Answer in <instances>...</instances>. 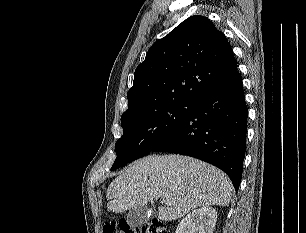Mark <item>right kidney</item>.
I'll return each mask as SVG.
<instances>
[{"label":"right kidney","instance_id":"1","mask_svg":"<svg viewBox=\"0 0 306 233\" xmlns=\"http://www.w3.org/2000/svg\"><path fill=\"white\" fill-rule=\"evenodd\" d=\"M217 211L209 206L193 210L178 224L175 233H213Z\"/></svg>","mask_w":306,"mask_h":233}]
</instances>
